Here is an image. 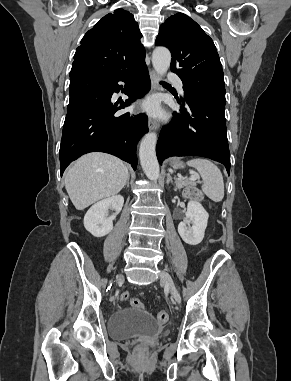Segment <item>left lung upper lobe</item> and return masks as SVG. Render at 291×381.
<instances>
[{
  "mask_svg": "<svg viewBox=\"0 0 291 381\" xmlns=\"http://www.w3.org/2000/svg\"><path fill=\"white\" fill-rule=\"evenodd\" d=\"M156 45L171 51V70L185 93L225 98L224 74L213 40L189 16L177 13L160 26Z\"/></svg>",
  "mask_w": 291,
  "mask_h": 381,
  "instance_id": "obj_1",
  "label": "left lung upper lobe"
}]
</instances>
